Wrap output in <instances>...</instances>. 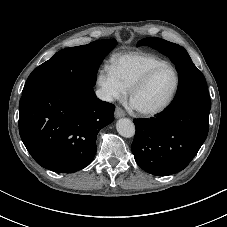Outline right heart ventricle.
I'll use <instances>...</instances> for the list:
<instances>
[{"label": "right heart ventricle", "instance_id": "right-heart-ventricle-1", "mask_svg": "<svg viewBox=\"0 0 227 227\" xmlns=\"http://www.w3.org/2000/svg\"><path fill=\"white\" fill-rule=\"evenodd\" d=\"M166 63V60L151 53L129 52L115 56L111 67L127 90L150 69Z\"/></svg>", "mask_w": 227, "mask_h": 227}]
</instances>
